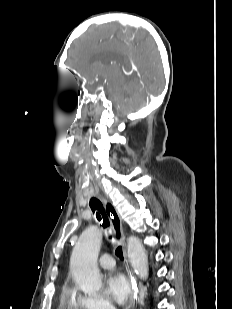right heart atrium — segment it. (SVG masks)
I'll use <instances>...</instances> for the list:
<instances>
[{
    "mask_svg": "<svg viewBox=\"0 0 232 309\" xmlns=\"http://www.w3.org/2000/svg\"><path fill=\"white\" fill-rule=\"evenodd\" d=\"M71 294L78 309H115L112 302L103 295H82L73 291Z\"/></svg>",
    "mask_w": 232,
    "mask_h": 309,
    "instance_id": "right-heart-atrium-1",
    "label": "right heart atrium"
}]
</instances>
